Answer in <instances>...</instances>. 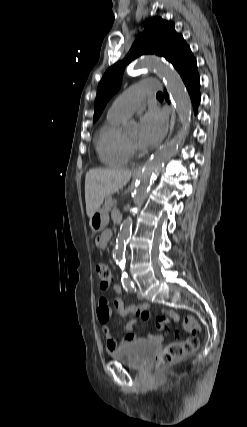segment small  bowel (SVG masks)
I'll return each instance as SVG.
<instances>
[{"label":"small bowel","mask_w":247,"mask_h":427,"mask_svg":"<svg viewBox=\"0 0 247 427\" xmlns=\"http://www.w3.org/2000/svg\"><path fill=\"white\" fill-rule=\"evenodd\" d=\"M112 237V232L110 230L104 231L100 236L96 239V245L99 248H105L107 243ZM114 292L117 294V296L112 301V306L117 314H119L122 317L129 316V315H137L142 320H149L150 319V307L148 303H141L137 305H125L120 297L122 293V288L115 284L113 286ZM112 312V308L110 306L109 300L105 297H102L99 299L98 302V308H97V318L99 322L102 324V333L107 341V348L114 352L128 343L134 341L136 339V335L133 332V326L135 324V320H131L127 323L125 327V335L124 338L117 342L111 333L110 327L108 326V320L110 318ZM173 319L174 321H177L179 319L178 314L173 310H164L162 314L157 318L156 320V327L158 331H162L164 329L165 324L168 322V319ZM152 340H161V335H154L149 336Z\"/></svg>","instance_id":"c3829d8e"}]
</instances>
